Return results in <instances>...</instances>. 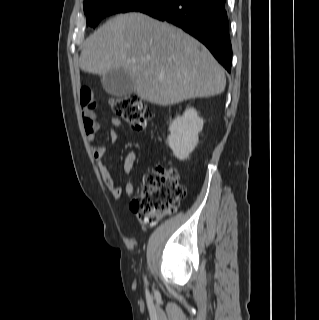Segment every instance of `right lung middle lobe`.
<instances>
[{
  "instance_id": "1",
  "label": "right lung middle lobe",
  "mask_w": 319,
  "mask_h": 320,
  "mask_svg": "<svg viewBox=\"0 0 319 320\" xmlns=\"http://www.w3.org/2000/svg\"><path fill=\"white\" fill-rule=\"evenodd\" d=\"M159 0H85L84 12L87 23L95 27L102 18L114 13L138 11L140 8L156 3Z\"/></svg>"
}]
</instances>
